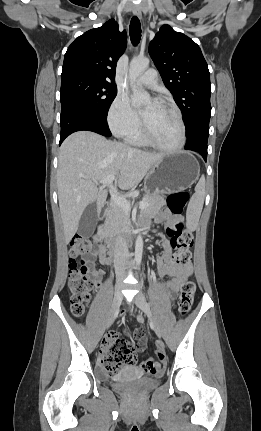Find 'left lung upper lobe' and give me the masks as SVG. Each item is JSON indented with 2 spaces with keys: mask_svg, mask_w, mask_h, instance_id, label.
<instances>
[{
  "mask_svg": "<svg viewBox=\"0 0 261 431\" xmlns=\"http://www.w3.org/2000/svg\"><path fill=\"white\" fill-rule=\"evenodd\" d=\"M149 53L183 114L187 138L209 126L210 76L199 46L165 24L151 41Z\"/></svg>",
  "mask_w": 261,
  "mask_h": 431,
  "instance_id": "left-lung-upper-lobe-1",
  "label": "left lung upper lobe"
}]
</instances>
